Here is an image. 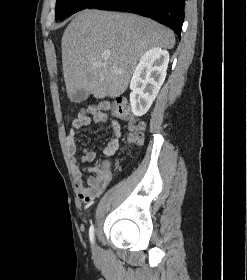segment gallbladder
Wrapping results in <instances>:
<instances>
[{"label":"gallbladder","mask_w":247,"mask_h":280,"mask_svg":"<svg viewBox=\"0 0 247 280\" xmlns=\"http://www.w3.org/2000/svg\"><path fill=\"white\" fill-rule=\"evenodd\" d=\"M88 95H89V93L86 92L85 90L77 91L76 94L73 97V101L81 102V101L87 99Z\"/></svg>","instance_id":"bac80fb5"}]
</instances>
